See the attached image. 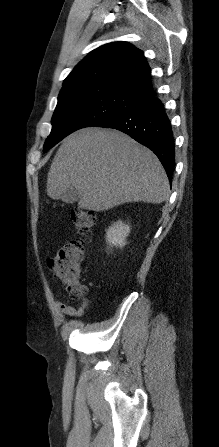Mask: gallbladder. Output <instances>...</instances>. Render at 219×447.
Returning a JSON list of instances; mask_svg holds the SVG:
<instances>
[{"mask_svg": "<svg viewBox=\"0 0 219 447\" xmlns=\"http://www.w3.org/2000/svg\"><path fill=\"white\" fill-rule=\"evenodd\" d=\"M79 199V193L75 188H69L66 194L62 197V201L67 204H73Z\"/></svg>", "mask_w": 219, "mask_h": 447, "instance_id": "bac80fb5", "label": "gallbladder"}]
</instances>
